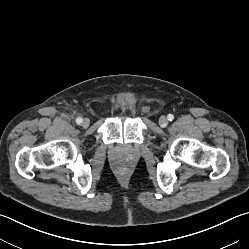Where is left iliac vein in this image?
Here are the masks:
<instances>
[{"label":"left iliac vein","instance_id":"4c4485c4","mask_svg":"<svg viewBox=\"0 0 249 249\" xmlns=\"http://www.w3.org/2000/svg\"><path fill=\"white\" fill-rule=\"evenodd\" d=\"M158 122L161 127H166L168 125V119L165 116H161Z\"/></svg>","mask_w":249,"mask_h":249}]
</instances>
